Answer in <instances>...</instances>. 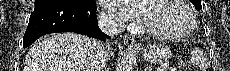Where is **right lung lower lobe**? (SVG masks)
<instances>
[{"instance_id": "98d812e1", "label": "right lung lower lobe", "mask_w": 230, "mask_h": 71, "mask_svg": "<svg viewBox=\"0 0 230 71\" xmlns=\"http://www.w3.org/2000/svg\"><path fill=\"white\" fill-rule=\"evenodd\" d=\"M57 32H76L100 40L110 38L97 25L96 6L63 0L42 1L35 4L30 15L23 47H28L45 34Z\"/></svg>"}]
</instances>
